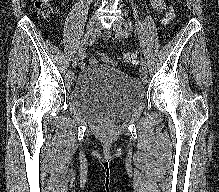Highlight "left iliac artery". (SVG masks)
<instances>
[{"mask_svg":"<svg viewBox=\"0 0 219 192\" xmlns=\"http://www.w3.org/2000/svg\"><path fill=\"white\" fill-rule=\"evenodd\" d=\"M123 35H124L125 37H129V32H128L127 30H124V31H123ZM141 63H142V64H146V62H145V60H144L143 58L141 59Z\"/></svg>","mask_w":219,"mask_h":192,"instance_id":"1","label":"left iliac artery"}]
</instances>
